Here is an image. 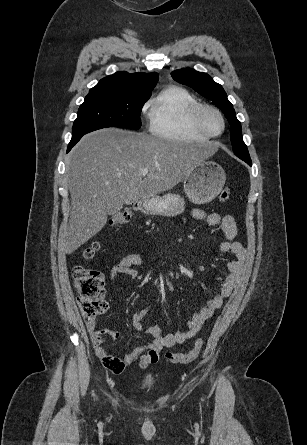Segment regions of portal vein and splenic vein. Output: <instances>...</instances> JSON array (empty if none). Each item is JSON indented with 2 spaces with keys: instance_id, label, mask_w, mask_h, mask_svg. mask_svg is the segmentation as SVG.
Listing matches in <instances>:
<instances>
[{
  "instance_id": "obj_1",
  "label": "portal vein and splenic vein",
  "mask_w": 307,
  "mask_h": 445,
  "mask_svg": "<svg viewBox=\"0 0 307 445\" xmlns=\"http://www.w3.org/2000/svg\"><path fill=\"white\" fill-rule=\"evenodd\" d=\"M140 172H142V174L145 176V174H148L149 170L148 168H140Z\"/></svg>"
}]
</instances>
